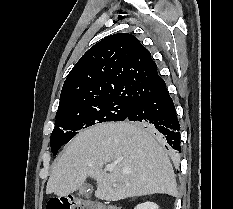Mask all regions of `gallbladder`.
I'll list each match as a JSON object with an SVG mask.
<instances>
[{"instance_id": "bac80fb5", "label": "gallbladder", "mask_w": 233, "mask_h": 209, "mask_svg": "<svg viewBox=\"0 0 233 209\" xmlns=\"http://www.w3.org/2000/svg\"><path fill=\"white\" fill-rule=\"evenodd\" d=\"M92 193L91 187L89 185H83L79 189V195L88 197Z\"/></svg>"}]
</instances>
